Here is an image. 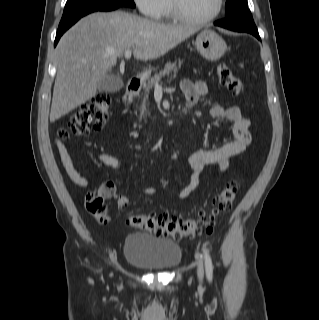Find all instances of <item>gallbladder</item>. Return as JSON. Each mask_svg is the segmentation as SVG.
<instances>
[{"label":"gallbladder","instance_id":"bac80fb5","mask_svg":"<svg viewBox=\"0 0 319 320\" xmlns=\"http://www.w3.org/2000/svg\"><path fill=\"white\" fill-rule=\"evenodd\" d=\"M123 87V81L118 75L107 73L98 84L100 92H116Z\"/></svg>","mask_w":319,"mask_h":320}]
</instances>
